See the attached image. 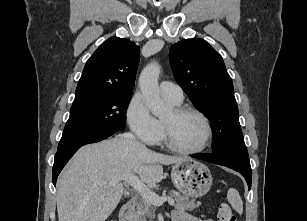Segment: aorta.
I'll return each instance as SVG.
<instances>
[{
	"label": "aorta",
	"instance_id": "762f6f07",
	"mask_svg": "<svg viewBox=\"0 0 307 221\" xmlns=\"http://www.w3.org/2000/svg\"><path fill=\"white\" fill-rule=\"evenodd\" d=\"M160 65L156 62L148 64L139 77V87L148 108L154 116L160 117L169 111V106L159 95L158 78Z\"/></svg>",
	"mask_w": 307,
	"mask_h": 221
}]
</instances>
